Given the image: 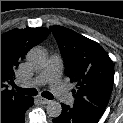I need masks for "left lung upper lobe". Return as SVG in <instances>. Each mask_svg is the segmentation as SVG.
Instances as JSON below:
<instances>
[{
  "label": "left lung upper lobe",
  "instance_id": "1",
  "mask_svg": "<svg viewBox=\"0 0 123 123\" xmlns=\"http://www.w3.org/2000/svg\"><path fill=\"white\" fill-rule=\"evenodd\" d=\"M64 59L66 75L76 84L73 110L99 119L109 102L113 62L95 41L62 27H50Z\"/></svg>",
  "mask_w": 123,
  "mask_h": 123
}]
</instances>
